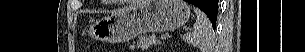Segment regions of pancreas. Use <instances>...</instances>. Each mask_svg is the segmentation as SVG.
<instances>
[{
    "mask_svg": "<svg viewBox=\"0 0 305 52\" xmlns=\"http://www.w3.org/2000/svg\"><path fill=\"white\" fill-rule=\"evenodd\" d=\"M160 41L156 39L155 35H143L137 40V47L141 49H148L152 45L159 44ZM130 48H134V45H131Z\"/></svg>",
    "mask_w": 305,
    "mask_h": 52,
    "instance_id": "pancreas-1",
    "label": "pancreas"
}]
</instances>
